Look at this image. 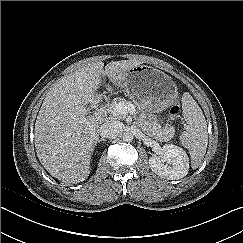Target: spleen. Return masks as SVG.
Segmentation results:
<instances>
[{
    "instance_id": "obj_1",
    "label": "spleen",
    "mask_w": 243,
    "mask_h": 243,
    "mask_svg": "<svg viewBox=\"0 0 243 243\" xmlns=\"http://www.w3.org/2000/svg\"><path fill=\"white\" fill-rule=\"evenodd\" d=\"M182 113L187 125L180 141L188 149L192 168L196 169L200 166L207 149V123L201 108L187 92L182 96Z\"/></svg>"
}]
</instances>
